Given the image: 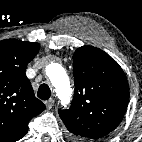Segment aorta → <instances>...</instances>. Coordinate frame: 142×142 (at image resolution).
I'll return each mask as SVG.
<instances>
[{
	"label": "aorta",
	"mask_w": 142,
	"mask_h": 142,
	"mask_svg": "<svg viewBox=\"0 0 142 142\" xmlns=\"http://www.w3.org/2000/svg\"><path fill=\"white\" fill-rule=\"evenodd\" d=\"M47 75L62 105H67L71 99V86L65 69L58 63H52L47 67Z\"/></svg>",
	"instance_id": "762f6f07"
}]
</instances>
